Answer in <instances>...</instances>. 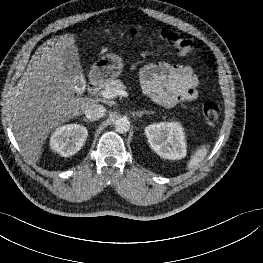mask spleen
I'll use <instances>...</instances> for the list:
<instances>
[{
  "mask_svg": "<svg viewBox=\"0 0 263 263\" xmlns=\"http://www.w3.org/2000/svg\"><path fill=\"white\" fill-rule=\"evenodd\" d=\"M209 147L207 145L200 146L195 153L192 154L190 160L187 163V169L191 170L199 165L206 155L208 154Z\"/></svg>",
  "mask_w": 263,
  "mask_h": 263,
  "instance_id": "1",
  "label": "spleen"
}]
</instances>
